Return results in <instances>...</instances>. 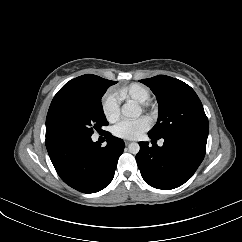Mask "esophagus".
Instances as JSON below:
<instances>
[{"instance_id": "esophagus-1", "label": "esophagus", "mask_w": 242, "mask_h": 242, "mask_svg": "<svg viewBox=\"0 0 242 242\" xmlns=\"http://www.w3.org/2000/svg\"><path fill=\"white\" fill-rule=\"evenodd\" d=\"M130 144V141H125V145H129Z\"/></svg>"}]
</instances>
